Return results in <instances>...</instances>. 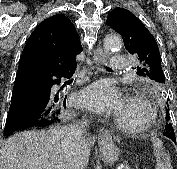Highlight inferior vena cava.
Returning a JSON list of instances; mask_svg holds the SVG:
<instances>
[{
  "label": "inferior vena cava",
  "mask_w": 177,
  "mask_h": 169,
  "mask_svg": "<svg viewBox=\"0 0 177 169\" xmlns=\"http://www.w3.org/2000/svg\"><path fill=\"white\" fill-rule=\"evenodd\" d=\"M86 125L83 121L80 126H68L60 131L62 169H80L77 152Z\"/></svg>",
  "instance_id": "602c4592"
}]
</instances>
